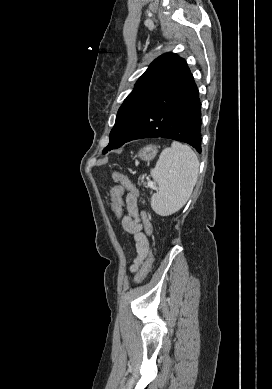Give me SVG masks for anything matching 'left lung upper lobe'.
I'll list each match as a JSON object with an SVG mask.
<instances>
[{
	"label": "left lung upper lobe",
	"instance_id": "obj_1",
	"mask_svg": "<svg viewBox=\"0 0 272 389\" xmlns=\"http://www.w3.org/2000/svg\"><path fill=\"white\" fill-rule=\"evenodd\" d=\"M186 67V61L174 53H165L149 65L119 108L109 144L103 153L124 144L142 119L152 98Z\"/></svg>",
	"mask_w": 272,
	"mask_h": 389
}]
</instances>
